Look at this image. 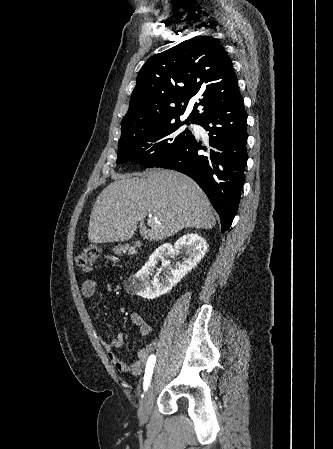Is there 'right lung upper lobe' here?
<instances>
[{
    "mask_svg": "<svg viewBox=\"0 0 333 449\" xmlns=\"http://www.w3.org/2000/svg\"><path fill=\"white\" fill-rule=\"evenodd\" d=\"M232 61L209 36H196L147 60L137 76L119 141L179 120L190 101L187 120L198 122L208 111L239 95ZM202 110H197V107Z\"/></svg>",
    "mask_w": 333,
    "mask_h": 449,
    "instance_id": "right-lung-upper-lobe-1",
    "label": "right lung upper lobe"
}]
</instances>
